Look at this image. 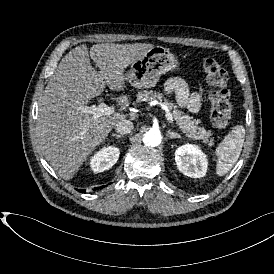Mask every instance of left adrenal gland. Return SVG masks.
<instances>
[{
    "mask_svg": "<svg viewBox=\"0 0 274 274\" xmlns=\"http://www.w3.org/2000/svg\"><path fill=\"white\" fill-rule=\"evenodd\" d=\"M167 137H169L170 139L181 138V136L178 133L172 132L171 130H168Z\"/></svg>",
    "mask_w": 274,
    "mask_h": 274,
    "instance_id": "a2214340",
    "label": "left adrenal gland"
}]
</instances>
